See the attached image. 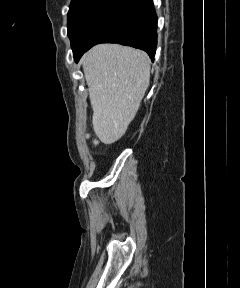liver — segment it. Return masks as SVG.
Wrapping results in <instances>:
<instances>
[{
	"label": "liver",
	"instance_id": "6515ba94",
	"mask_svg": "<svg viewBox=\"0 0 240 288\" xmlns=\"http://www.w3.org/2000/svg\"><path fill=\"white\" fill-rule=\"evenodd\" d=\"M93 109V129L104 144L126 132L150 83V59L141 50L100 44L81 58Z\"/></svg>",
	"mask_w": 240,
	"mask_h": 288
}]
</instances>
